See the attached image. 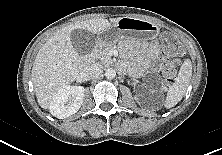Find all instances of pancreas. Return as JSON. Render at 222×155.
<instances>
[{
    "label": "pancreas",
    "mask_w": 222,
    "mask_h": 155,
    "mask_svg": "<svg viewBox=\"0 0 222 155\" xmlns=\"http://www.w3.org/2000/svg\"><path fill=\"white\" fill-rule=\"evenodd\" d=\"M113 49H115L114 45L105 48H96L92 53V57H94L95 59H99L102 64H112V59L111 56L109 55V52ZM135 72L136 68L133 67L130 70V74L134 75Z\"/></svg>",
    "instance_id": "pancreas-1"
}]
</instances>
